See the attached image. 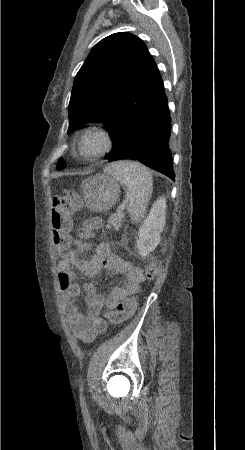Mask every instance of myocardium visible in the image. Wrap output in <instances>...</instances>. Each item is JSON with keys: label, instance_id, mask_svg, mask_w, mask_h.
I'll list each match as a JSON object with an SVG mask.
<instances>
[{"label": "myocardium", "instance_id": "1", "mask_svg": "<svg viewBox=\"0 0 245 450\" xmlns=\"http://www.w3.org/2000/svg\"><path fill=\"white\" fill-rule=\"evenodd\" d=\"M92 138H99L102 142L101 147L94 153H85L83 148ZM113 148V138L110 132L104 127H91L84 130L79 136L76 149L79 155L85 159H95L107 155Z\"/></svg>", "mask_w": 245, "mask_h": 450}]
</instances>
